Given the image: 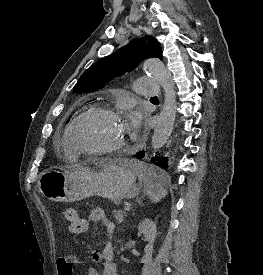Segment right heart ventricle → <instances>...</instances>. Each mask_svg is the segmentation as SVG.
<instances>
[{
    "label": "right heart ventricle",
    "instance_id": "right-heart-ventricle-1",
    "mask_svg": "<svg viewBox=\"0 0 263 275\" xmlns=\"http://www.w3.org/2000/svg\"><path fill=\"white\" fill-rule=\"evenodd\" d=\"M80 115V114H79ZM78 115V116H79ZM77 116V117H78ZM75 117L66 127V130H65V135H64V148H65V152L66 154L71 157V158H75L77 156V154L74 152V150L72 149L69 141H68V135H69V131H70V128L74 122V120L77 118Z\"/></svg>",
    "mask_w": 263,
    "mask_h": 275
}]
</instances>
